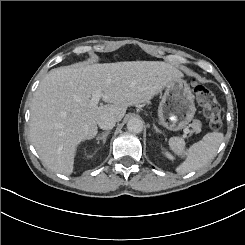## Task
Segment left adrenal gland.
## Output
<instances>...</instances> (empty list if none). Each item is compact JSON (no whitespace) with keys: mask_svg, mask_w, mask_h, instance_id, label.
Instances as JSON below:
<instances>
[{"mask_svg":"<svg viewBox=\"0 0 245 245\" xmlns=\"http://www.w3.org/2000/svg\"><path fill=\"white\" fill-rule=\"evenodd\" d=\"M152 125L154 127L155 132H159L160 134H163L162 130L159 129L155 123H152Z\"/></svg>","mask_w":245,"mask_h":245,"instance_id":"obj_1","label":"left adrenal gland"}]
</instances>
